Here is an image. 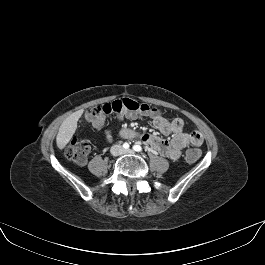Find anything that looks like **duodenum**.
<instances>
[{"label": "duodenum", "instance_id": "1", "mask_svg": "<svg viewBox=\"0 0 265 265\" xmlns=\"http://www.w3.org/2000/svg\"><path fill=\"white\" fill-rule=\"evenodd\" d=\"M121 137H122L123 139H130V138L132 137V135L129 134V133H127V132H125V131H122V132H121Z\"/></svg>", "mask_w": 265, "mask_h": 265}]
</instances>
